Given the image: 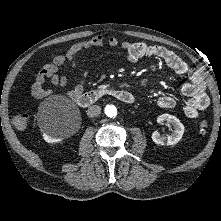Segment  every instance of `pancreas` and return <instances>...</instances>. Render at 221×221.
Here are the masks:
<instances>
[{"label": "pancreas", "mask_w": 221, "mask_h": 221, "mask_svg": "<svg viewBox=\"0 0 221 221\" xmlns=\"http://www.w3.org/2000/svg\"><path fill=\"white\" fill-rule=\"evenodd\" d=\"M106 88H107V85H100L99 86V89H101V90H106Z\"/></svg>", "instance_id": "cf45deb5"}]
</instances>
